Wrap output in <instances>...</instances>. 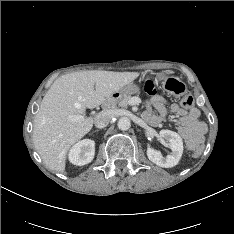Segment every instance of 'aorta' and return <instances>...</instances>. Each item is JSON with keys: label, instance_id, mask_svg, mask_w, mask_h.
<instances>
[{"label": "aorta", "instance_id": "1", "mask_svg": "<svg viewBox=\"0 0 234 234\" xmlns=\"http://www.w3.org/2000/svg\"><path fill=\"white\" fill-rule=\"evenodd\" d=\"M117 125L120 130H128L131 126V121L128 117H121Z\"/></svg>", "mask_w": 234, "mask_h": 234}]
</instances>
